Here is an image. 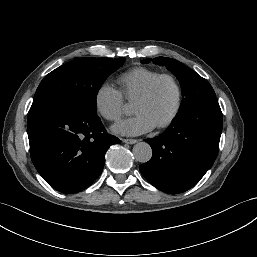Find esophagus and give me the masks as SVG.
Instances as JSON below:
<instances>
[{
  "label": "esophagus",
  "instance_id": "obj_1",
  "mask_svg": "<svg viewBox=\"0 0 257 257\" xmlns=\"http://www.w3.org/2000/svg\"><path fill=\"white\" fill-rule=\"evenodd\" d=\"M123 142L126 144H135L138 142L137 139H123Z\"/></svg>",
  "mask_w": 257,
  "mask_h": 257
}]
</instances>
